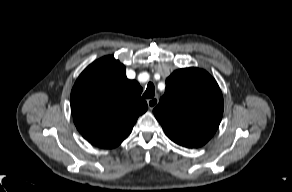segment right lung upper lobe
<instances>
[{"label": "right lung upper lobe", "mask_w": 292, "mask_h": 192, "mask_svg": "<svg viewBox=\"0 0 292 192\" xmlns=\"http://www.w3.org/2000/svg\"><path fill=\"white\" fill-rule=\"evenodd\" d=\"M141 92L139 83L127 79L125 66L113 56L96 60L71 91V112L78 131L100 148L118 146L148 108Z\"/></svg>", "instance_id": "cb5924a9"}]
</instances>
